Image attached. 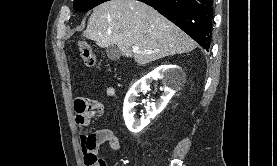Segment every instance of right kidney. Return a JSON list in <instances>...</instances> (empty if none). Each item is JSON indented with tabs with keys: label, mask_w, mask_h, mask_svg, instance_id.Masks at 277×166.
Segmentation results:
<instances>
[{
	"label": "right kidney",
	"mask_w": 277,
	"mask_h": 166,
	"mask_svg": "<svg viewBox=\"0 0 277 166\" xmlns=\"http://www.w3.org/2000/svg\"><path fill=\"white\" fill-rule=\"evenodd\" d=\"M175 66L165 65L156 68L154 71L137 81L126 94L123 106V117L127 128L134 133L140 132L144 127L150 123V119L158 115L168 104L174 91L171 89V85L176 79ZM162 79L164 93L154 103L150 104L151 110L147 112V115L141 117L140 120L134 118V107L137 105L136 98L142 91L149 90L150 83L155 79Z\"/></svg>",
	"instance_id": "ca27d5eb"
}]
</instances>
